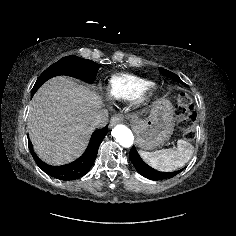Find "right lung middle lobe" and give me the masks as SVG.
Segmentation results:
<instances>
[{
    "label": "right lung middle lobe",
    "instance_id": "1",
    "mask_svg": "<svg viewBox=\"0 0 236 236\" xmlns=\"http://www.w3.org/2000/svg\"><path fill=\"white\" fill-rule=\"evenodd\" d=\"M100 67V64L77 56L61 58L39 76L31 91V96H33L48 79L58 75H68L79 78L87 83H92Z\"/></svg>",
    "mask_w": 236,
    "mask_h": 236
}]
</instances>
